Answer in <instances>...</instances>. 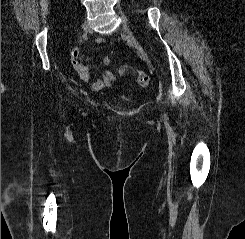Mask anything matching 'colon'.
<instances>
[{
    "mask_svg": "<svg viewBox=\"0 0 245 239\" xmlns=\"http://www.w3.org/2000/svg\"><path fill=\"white\" fill-rule=\"evenodd\" d=\"M150 81L149 75L145 72H138L137 73V83L140 87L148 86Z\"/></svg>",
    "mask_w": 245,
    "mask_h": 239,
    "instance_id": "obj_1",
    "label": "colon"
}]
</instances>
